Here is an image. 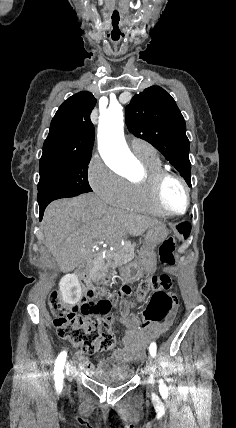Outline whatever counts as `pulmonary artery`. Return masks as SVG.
I'll return each instance as SVG.
<instances>
[{
    "label": "pulmonary artery",
    "instance_id": "1",
    "mask_svg": "<svg viewBox=\"0 0 236 428\" xmlns=\"http://www.w3.org/2000/svg\"><path fill=\"white\" fill-rule=\"evenodd\" d=\"M133 153L138 157L153 156L155 155V150L152 146L144 142H134L131 146Z\"/></svg>",
    "mask_w": 236,
    "mask_h": 428
}]
</instances>
